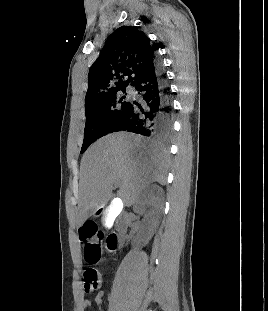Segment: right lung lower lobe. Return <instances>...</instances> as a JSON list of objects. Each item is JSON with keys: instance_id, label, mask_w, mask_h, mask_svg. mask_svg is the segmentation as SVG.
Masks as SVG:
<instances>
[{"instance_id": "98d812e1", "label": "right lung lower lobe", "mask_w": 268, "mask_h": 311, "mask_svg": "<svg viewBox=\"0 0 268 311\" xmlns=\"http://www.w3.org/2000/svg\"><path fill=\"white\" fill-rule=\"evenodd\" d=\"M131 86L137 90L139 100L128 102L110 133L123 130L155 139H169L173 131L171 93L157 56Z\"/></svg>"}]
</instances>
